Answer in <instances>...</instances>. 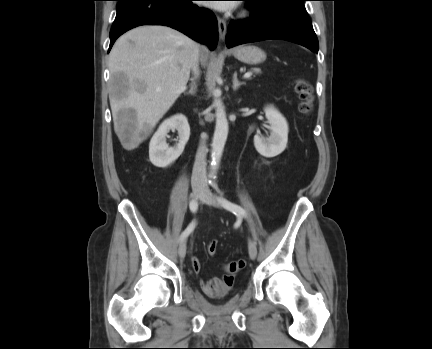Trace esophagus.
<instances>
[{"label": "esophagus", "mask_w": 432, "mask_h": 349, "mask_svg": "<svg viewBox=\"0 0 432 349\" xmlns=\"http://www.w3.org/2000/svg\"><path fill=\"white\" fill-rule=\"evenodd\" d=\"M218 21V32H219V37L220 39H224L226 32H227V24L226 21L224 19H222L221 17L217 18Z\"/></svg>", "instance_id": "34e87169"}]
</instances>
